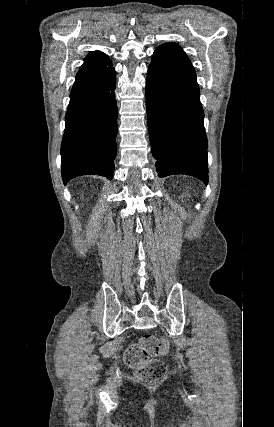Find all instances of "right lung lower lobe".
<instances>
[{"instance_id":"obj_1","label":"right lung lower lobe","mask_w":274,"mask_h":427,"mask_svg":"<svg viewBox=\"0 0 274 427\" xmlns=\"http://www.w3.org/2000/svg\"><path fill=\"white\" fill-rule=\"evenodd\" d=\"M115 84L111 63L77 73L61 146L64 184L80 175L112 179L117 153Z\"/></svg>"}]
</instances>
